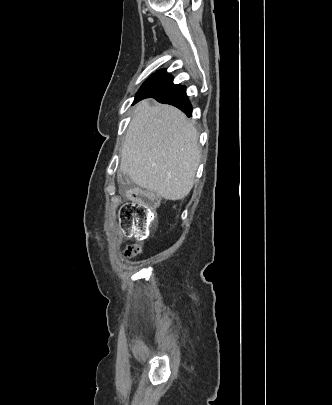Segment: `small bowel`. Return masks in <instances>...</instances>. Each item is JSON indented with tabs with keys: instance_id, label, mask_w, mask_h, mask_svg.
<instances>
[{
	"instance_id": "small-bowel-1",
	"label": "small bowel",
	"mask_w": 332,
	"mask_h": 405,
	"mask_svg": "<svg viewBox=\"0 0 332 405\" xmlns=\"http://www.w3.org/2000/svg\"><path fill=\"white\" fill-rule=\"evenodd\" d=\"M115 185L116 186H131L132 178L128 177L127 172H117L116 178H115Z\"/></svg>"
}]
</instances>
